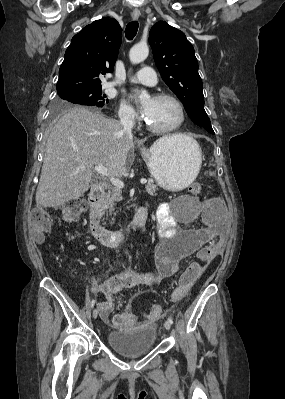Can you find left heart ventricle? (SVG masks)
<instances>
[{"instance_id": "obj_1", "label": "left heart ventricle", "mask_w": 285, "mask_h": 399, "mask_svg": "<svg viewBox=\"0 0 285 399\" xmlns=\"http://www.w3.org/2000/svg\"><path fill=\"white\" fill-rule=\"evenodd\" d=\"M146 119L155 127L167 128L177 124L181 118L179 107L171 100H150Z\"/></svg>"}]
</instances>
